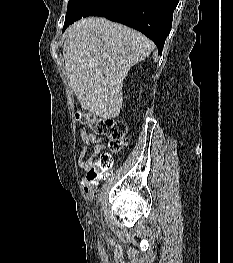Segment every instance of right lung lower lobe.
<instances>
[{
    "label": "right lung lower lobe",
    "mask_w": 233,
    "mask_h": 263,
    "mask_svg": "<svg viewBox=\"0 0 233 263\" xmlns=\"http://www.w3.org/2000/svg\"><path fill=\"white\" fill-rule=\"evenodd\" d=\"M178 1L122 0L112 13L103 17L142 32L156 44L161 55Z\"/></svg>",
    "instance_id": "obj_1"
}]
</instances>
